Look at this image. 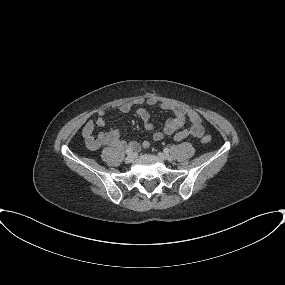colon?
<instances>
[{
    "label": "colon",
    "instance_id": "5ec220e1",
    "mask_svg": "<svg viewBox=\"0 0 285 285\" xmlns=\"http://www.w3.org/2000/svg\"><path fill=\"white\" fill-rule=\"evenodd\" d=\"M210 141H211V137L210 136H204L203 139H202V142L205 143V144L210 143Z\"/></svg>",
    "mask_w": 285,
    "mask_h": 285
}]
</instances>
